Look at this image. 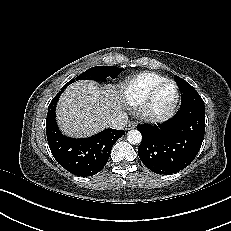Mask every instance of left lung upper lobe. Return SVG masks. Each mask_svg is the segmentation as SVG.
<instances>
[{
	"label": "left lung upper lobe",
	"instance_id": "obj_1",
	"mask_svg": "<svg viewBox=\"0 0 231 231\" xmlns=\"http://www.w3.org/2000/svg\"><path fill=\"white\" fill-rule=\"evenodd\" d=\"M175 81L182 94L181 104L188 105L195 102L204 103L195 88H193L188 82L178 76H175Z\"/></svg>",
	"mask_w": 231,
	"mask_h": 231
}]
</instances>
